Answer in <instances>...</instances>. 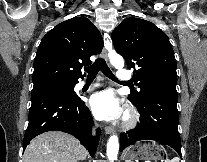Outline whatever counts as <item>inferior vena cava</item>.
Returning a JSON list of instances; mask_svg holds the SVG:
<instances>
[{
	"label": "inferior vena cava",
	"instance_id": "602c4592",
	"mask_svg": "<svg viewBox=\"0 0 207 162\" xmlns=\"http://www.w3.org/2000/svg\"><path fill=\"white\" fill-rule=\"evenodd\" d=\"M92 133H93V134H95V128H93V131H92Z\"/></svg>",
	"mask_w": 207,
	"mask_h": 162
}]
</instances>
